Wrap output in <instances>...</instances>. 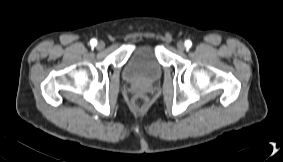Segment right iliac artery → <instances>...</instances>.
I'll use <instances>...</instances> for the list:
<instances>
[{
  "label": "right iliac artery",
  "mask_w": 283,
  "mask_h": 162,
  "mask_svg": "<svg viewBox=\"0 0 283 162\" xmlns=\"http://www.w3.org/2000/svg\"><path fill=\"white\" fill-rule=\"evenodd\" d=\"M90 44H91L92 46H95V45L97 44V40L92 39V40L90 41Z\"/></svg>",
  "instance_id": "right-iliac-artery-1"
}]
</instances>
